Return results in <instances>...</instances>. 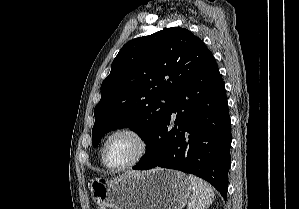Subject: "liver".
<instances>
[{
  "mask_svg": "<svg viewBox=\"0 0 299 209\" xmlns=\"http://www.w3.org/2000/svg\"><path fill=\"white\" fill-rule=\"evenodd\" d=\"M129 174H131V173H137V172H133V171H131V172H128ZM127 174V173H126Z\"/></svg>",
  "mask_w": 299,
  "mask_h": 209,
  "instance_id": "obj_1",
  "label": "liver"
}]
</instances>
